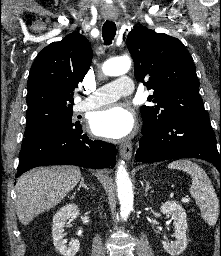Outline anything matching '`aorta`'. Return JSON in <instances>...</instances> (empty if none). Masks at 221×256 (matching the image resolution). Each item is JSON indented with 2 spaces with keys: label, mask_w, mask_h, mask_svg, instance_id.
I'll return each mask as SVG.
<instances>
[{
  "label": "aorta",
  "mask_w": 221,
  "mask_h": 256,
  "mask_svg": "<svg viewBox=\"0 0 221 256\" xmlns=\"http://www.w3.org/2000/svg\"><path fill=\"white\" fill-rule=\"evenodd\" d=\"M131 68V60L128 57H119L107 60L102 70L105 75L119 76L125 74ZM123 162L118 166L116 174L117 192L120 201V215L123 219H126L133 209V189L132 182L126 169L123 166Z\"/></svg>",
  "instance_id": "obj_1"
}]
</instances>
